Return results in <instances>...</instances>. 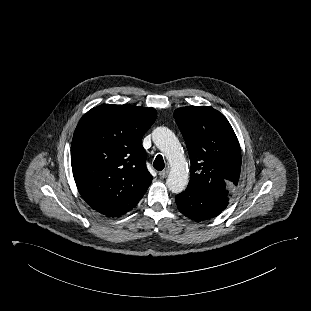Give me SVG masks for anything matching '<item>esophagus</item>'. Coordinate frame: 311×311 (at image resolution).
Listing matches in <instances>:
<instances>
[{
    "instance_id": "esophagus-1",
    "label": "esophagus",
    "mask_w": 311,
    "mask_h": 311,
    "mask_svg": "<svg viewBox=\"0 0 311 311\" xmlns=\"http://www.w3.org/2000/svg\"><path fill=\"white\" fill-rule=\"evenodd\" d=\"M168 174H169V168H166V169L159 172V176L161 178H166L168 176Z\"/></svg>"
}]
</instances>
